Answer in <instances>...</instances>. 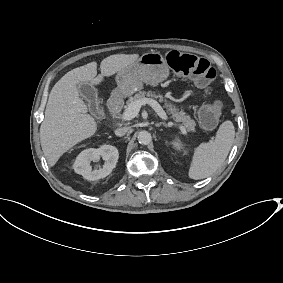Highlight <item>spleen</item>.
I'll return each mask as SVG.
<instances>
[{
    "mask_svg": "<svg viewBox=\"0 0 283 283\" xmlns=\"http://www.w3.org/2000/svg\"><path fill=\"white\" fill-rule=\"evenodd\" d=\"M235 138V129L231 121L223 122L214 140L201 143L194 150L189 177L195 180L212 175L224 163Z\"/></svg>",
    "mask_w": 283,
    "mask_h": 283,
    "instance_id": "obj_1",
    "label": "spleen"
}]
</instances>
